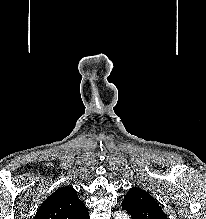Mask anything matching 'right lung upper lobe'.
<instances>
[{
	"label": "right lung upper lobe",
	"mask_w": 206,
	"mask_h": 219,
	"mask_svg": "<svg viewBox=\"0 0 206 219\" xmlns=\"http://www.w3.org/2000/svg\"><path fill=\"white\" fill-rule=\"evenodd\" d=\"M34 219H89V213L76 190L64 186L41 204Z\"/></svg>",
	"instance_id": "right-lung-upper-lobe-1"
}]
</instances>
